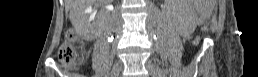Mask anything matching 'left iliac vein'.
I'll list each match as a JSON object with an SVG mask.
<instances>
[{
  "label": "left iliac vein",
  "mask_w": 258,
  "mask_h": 77,
  "mask_svg": "<svg viewBox=\"0 0 258 77\" xmlns=\"http://www.w3.org/2000/svg\"><path fill=\"white\" fill-rule=\"evenodd\" d=\"M146 68L151 74V76L164 77V72L158 66L153 64L151 61L146 62Z\"/></svg>",
  "instance_id": "obj_1"
}]
</instances>
